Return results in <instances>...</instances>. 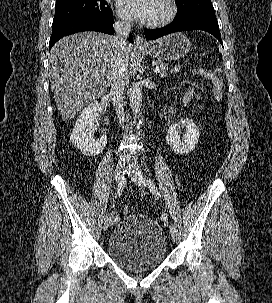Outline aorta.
<instances>
[{"label":"aorta","mask_w":272,"mask_h":303,"mask_svg":"<svg viewBox=\"0 0 272 303\" xmlns=\"http://www.w3.org/2000/svg\"><path fill=\"white\" fill-rule=\"evenodd\" d=\"M129 102L132 112L137 115L142 106V89L139 83H133L129 91Z\"/></svg>","instance_id":"obj_1"}]
</instances>
